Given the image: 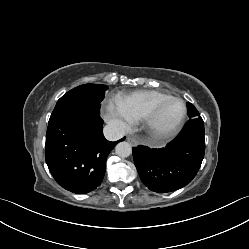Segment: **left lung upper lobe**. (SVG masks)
I'll use <instances>...</instances> for the list:
<instances>
[{
  "label": "left lung upper lobe",
  "mask_w": 249,
  "mask_h": 249,
  "mask_svg": "<svg viewBox=\"0 0 249 249\" xmlns=\"http://www.w3.org/2000/svg\"><path fill=\"white\" fill-rule=\"evenodd\" d=\"M186 105L188 110V116L190 119L201 118L197 109L190 102H188Z\"/></svg>",
  "instance_id": "1"
}]
</instances>
